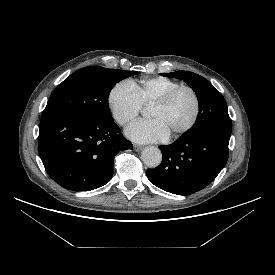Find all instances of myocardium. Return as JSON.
I'll list each match as a JSON object with an SVG mask.
<instances>
[{
  "label": "myocardium",
  "mask_w": 275,
  "mask_h": 275,
  "mask_svg": "<svg viewBox=\"0 0 275 275\" xmlns=\"http://www.w3.org/2000/svg\"><path fill=\"white\" fill-rule=\"evenodd\" d=\"M182 90H187L188 92L191 93L193 100H194V113L190 121L180 130L176 131L175 133L169 135L171 139H176L181 137L182 135L186 134L189 132L197 123L199 116H200V111H201V103L199 96L196 92V90L189 86V85H179L173 89H171L169 92H167L162 98H160L158 101H156L152 106L159 107V108H165L167 107L174 97Z\"/></svg>",
  "instance_id": "1"
}]
</instances>
